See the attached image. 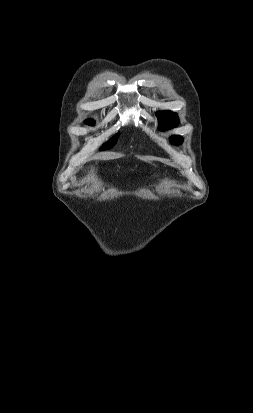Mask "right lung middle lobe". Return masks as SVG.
I'll list each match as a JSON object with an SVG mask.
<instances>
[{
    "mask_svg": "<svg viewBox=\"0 0 253 413\" xmlns=\"http://www.w3.org/2000/svg\"><path fill=\"white\" fill-rule=\"evenodd\" d=\"M118 136H119V135H116V136H114L112 139H110L107 143H105V144L102 146V148H101L100 150H106V149L112 148V147L116 144V141H117V139H118Z\"/></svg>",
    "mask_w": 253,
    "mask_h": 413,
    "instance_id": "1",
    "label": "right lung middle lobe"
}]
</instances>
